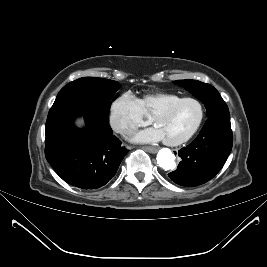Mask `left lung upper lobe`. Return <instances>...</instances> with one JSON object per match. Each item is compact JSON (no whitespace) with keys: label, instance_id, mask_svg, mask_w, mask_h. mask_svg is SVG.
<instances>
[{"label":"left lung upper lobe","instance_id":"left-lung-upper-lobe-1","mask_svg":"<svg viewBox=\"0 0 267 267\" xmlns=\"http://www.w3.org/2000/svg\"><path fill=\"white\" fill-rule=\"evenodd\" d=\"M174 83L183 86L206 106L208 118L229 115L227 105L213 86L197 80H179Z\"/></svg>","mask_w":267,"mask_h":267}]
</instances>
